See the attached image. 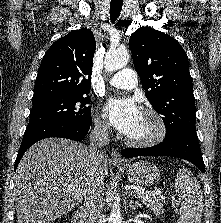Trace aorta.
Here are the masks:
<instances>
[{"instance_id":"1","label":"aorta","mask_w":221,"mask_h":223,"mask_svg":"<svg viewBox=\"0 0 221 223\" xmlns=\"http://www.w3.org/2000/svg\"><path fill=\"white\" fill-rule=\"evenodd\" d=\"M129 54L126 50H109L105 56L104 67L106 71L113 72L127 65ZM108 223H122L121 211L114 206L110 212Z\"/></svg>"}]
</instances>
